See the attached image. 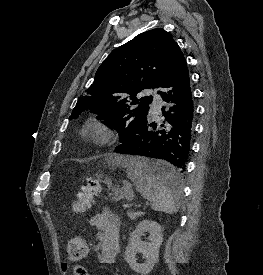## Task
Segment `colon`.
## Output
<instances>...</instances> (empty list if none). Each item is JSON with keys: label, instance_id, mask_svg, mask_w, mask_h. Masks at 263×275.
<instances>
[{"label": "colon", "instance_id": "5ec220e1", "mask_svg": "<svg viewBox=\"0 0 263 275\" xmlns=\"http://www.w3.org/2000/svg\"><path fill=\"white\" fill-rule=\"evenodd\" d=\"M101 184L97 179H88L86 185L73 203L72 209L75 213H84L88 211L96 197L100 195ZM89 240L84 236L72 238L66 248V257L70 262H79L86 258L89 253ZM73 275H89L86 268L82 265H76Z\"/></svg>", "mask_w": 263, "mask_h": 275}]
</instances>
